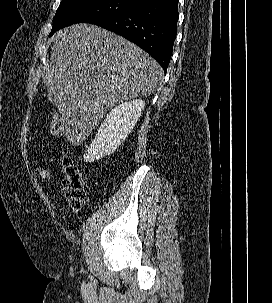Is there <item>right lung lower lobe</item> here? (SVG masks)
Here are the masks:
<instances>
[{
    "label": "right lung lower lobe",
    "mask_w": 272,
    "mask_h": 303,
    "mask_svg": "<svg viewBox=\"0 0 272 303\" xmlns=\"http://www.w3.org/2000/svg\"><path fill=\"white\" fill-rule=\"evenodd\" d=\"M178 0H147L92 24L115 32L148 52L166 72L177 33Z\"/></svg>",
    "instance_id": "1"
}]
</instances>
